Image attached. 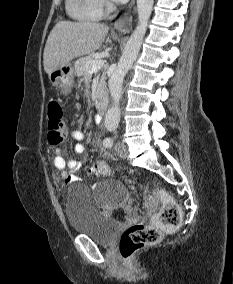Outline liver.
Wrapping results in <instances>:
<instances>
[{"label":"liver","mask_w":233,"mask_h":284,"mask_svg":"<svg viewBox=\"0 0 233 284\" xmlns=\"http://www.w3.org/2000/svg\"><path fill=\"white\" fill-rule=\"evenodd\" d=\"M108 31V26L95 22H58L50 32L45 45V72L49 75L74 58L96 51L101 47Z\"/></svg>","instance_id":"6515ba94"}]
</instances>
